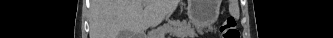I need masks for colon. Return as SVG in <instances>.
<instances>
[{
  "label": "colon",
  "instance_id": "colon-1",
  "mask_svg": "<svg viewBox=\"0 0 333 38\" xmlns=\"http://www.w3.org/2000/svg\"><path fill=\"white\" fill-rule=\"evenodd\" d=\"M222 38H240L236 20L232 17L225 20L221 27Z\"/></svg>",
  "mask_w": 333,
  "mask_h": 38
}]
</instances>
